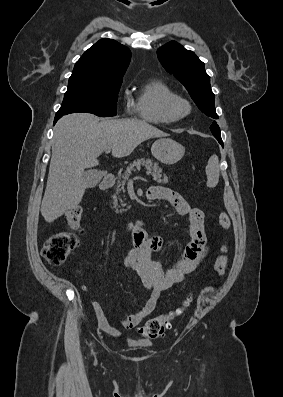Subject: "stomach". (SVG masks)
<instances>
[{"label": "stomach", "instance_id": "1", "mask_svg": "<svg viewBox=\"0 0 283 397\" xmlns=\"http://www.w3.org/2000/svg\"><path fill=\"white\" fill-rule=\"evenodd\" d=\"M151 152L161 163L172 165L182 159L185 154V148L173 139L162 138L153 143Z\"/></svg>", "mask_w": 283, "mask_h": 397}]
</instances>
